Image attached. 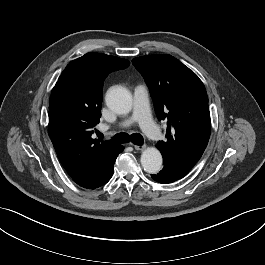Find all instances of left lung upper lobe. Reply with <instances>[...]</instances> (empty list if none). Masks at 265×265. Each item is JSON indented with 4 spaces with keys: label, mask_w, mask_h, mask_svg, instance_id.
Returning <instances> with one entry per match:
<instances>
[{
    "label": "left lung upper lobe",
    "mask_w": 265,
    "mask_h": 265,
    "mask_svg": "<svg viewBox=\"0 0 265 265\" xmlns=\"http://www.w3.org/2000/svg\"><path fill=\"white\" fill-rule=\"evenodd\" d=\"M133 64L149 87L158 117L167 120V140L158 142L163 170L181 179L201 158L210 137L206 89L171 55L142 56Z\"/></svg>",
    "instance_id": "5c2ea615"
}]
</instances>
